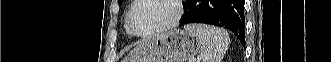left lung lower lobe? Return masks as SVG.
Listing matches in <instances>:
<instances>
[{"label": "left lung lower lobe", "mask_w": 331, "mask_h": 62, "mask_svg": "<svg viewBox=\"0 0 331 62\" xmlns=\"http://www.w3.org/2000/svg\"><path fill=\"white\" fill-rule=\"evenodd\" d=\"M187 13L180 25L188 23L212 24L231 30L245 46V17L242 0H187Z\"/></svg>", "instance_id": "1"}]
</instances>
